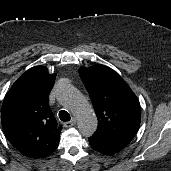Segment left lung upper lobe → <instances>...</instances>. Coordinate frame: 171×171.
Segmentation results:
<instances>
[{"instance_id":"obj_1","label":"left lung upper lobe","mask_w":171,"mask_h":171,"mask_svg":"<svg viewBox=\"0 0 171 171\" xmlns=\"http://www.w3.org/2000/svg\"><path fill=\"white\" fill-rule=\"evenodd\" d=\"M98 118V128L91 137L122 150L136 135L141 109L136 95L111 68L94 65L79 69Z\"/></svg>"}]
</instances>
